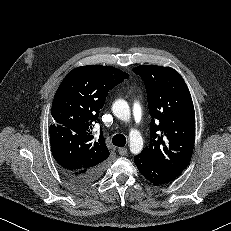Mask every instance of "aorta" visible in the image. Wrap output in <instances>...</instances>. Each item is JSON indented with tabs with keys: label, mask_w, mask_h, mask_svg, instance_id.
I'll list each match as a JSON object with an SVG mask.
<instances>
[{
	"label": "aorta",
	"mask_w": 231,
	"mask_h": 231,
	"mask_svg": "<svg viewBox=\"0 0 231 231\" xmlns=\"http://www.w3.org/2000/svg\"><path fill=\"white\" fill-rule=\"evenodd\" d=\"M113 114L120 120L128 122L130 119V108L128 103L123 99L116 100L112 105ZM130 151L133 154H139L143 149V139L140 132L131 129L129 133Z\"/></svg>",
	"instance_id": "762f6f07"
}]
</instances>
